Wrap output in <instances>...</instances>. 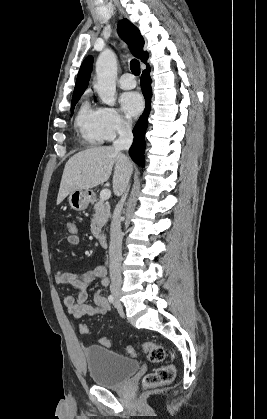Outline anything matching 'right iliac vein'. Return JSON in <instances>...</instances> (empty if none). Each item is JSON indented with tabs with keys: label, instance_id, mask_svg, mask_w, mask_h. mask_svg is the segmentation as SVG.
I'll return each instance as SVG.
<instances>
[{
	"label": "right iliac vein",
	"instance_id": "right-iliac-vein-1",
	"mask_svg": "<svg viewBox=\"0 0 267 419\" xmlns=\"http://www.w3.org/2000/svg\"><path fill=\"white\" fill-rule=\"evenodd\" d=\"M113 296L116 299V301L118 302L119 298H120V293L118 291H113Z\"/></svg>",
	"mask_w": 267,
	"mask_h": 419
}]
</instances>
